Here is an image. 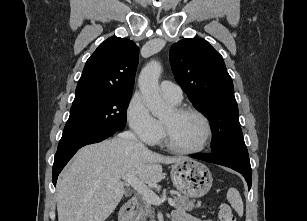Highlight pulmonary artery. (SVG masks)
I'll return each instance as SVG.
<instances>
[{
  "label": "pulmonary artery",
  "mask_w": 307,
  "mask_h": 221,
  "mask_svg": "<svg viewBox=\"0 0 307 221\" xmlns=\"http://www.w3.org/2000/svg\"><path fill=\"white\" fill-rule=\"evenodd\" d=\"M159 89L164 97L174 103L181 102L183 98L182 89L180 88V86L171 81H162L160 83Z\"/></svg>",
  "instance_id": "obj_1"
}]
</instances>
